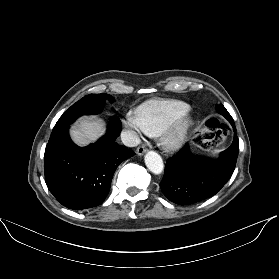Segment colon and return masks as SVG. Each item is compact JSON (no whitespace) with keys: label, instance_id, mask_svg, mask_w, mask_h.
<instances>
[{"label":"colon","instance_id":"colon-1","mask_svg":"<svg viewBox=\"0 0 279 279\" xmlns=\"http://www.w3.org/2000/svg\"><path fill=\"white\" fill-rule=\"evenodd\" d=\"M226 134L227 126L216 118H210L198 131L195 142L204 149H213L224 142Z\"/></svg>","mask_w":279,"mask_h":279}]
</instances>
